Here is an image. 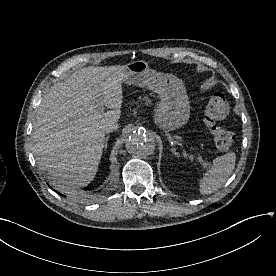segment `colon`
Here are the masks:
<instances>
[{
	"mask_svg": "<svg viewBox=\"0 0 276 276\" xmlns=\"http://www.w3.org/2000/svg\"><path fill=\"white\" fill-rule=\"evenodd\" d=\"M229 110V102L221 93L211 96L205 108L204 122L213 136L216 147L223 152L230 150L235 142L234 134L220 125L229 114Z\"/></svg>",
	"mask_w": 276,
	"mask_h": 276,
	"instance_id": "1",
	"label": "colon"
}]
</instances>
